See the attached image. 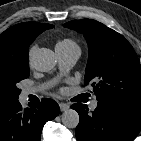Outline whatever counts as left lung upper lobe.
<instances>
[{"label": "left lung upper lobe", "instance_id": "left-lung-upper-lobe-1", "mask_svg": "<svg viewBox=\"0 0 141 141\" xmlns=\"http://www.w3.org/2000/svg\"><path fill=\"white\" fill-rule=\"evenodd\" d=\"M63 26L87 40L84 81L93 86L97 100L141 108V65L131 44L96 20H73Z\"/></svg>", "mask_w": 141, "mask_h": 141}]
</instances>
